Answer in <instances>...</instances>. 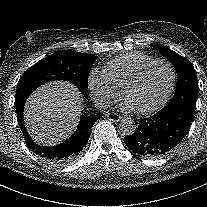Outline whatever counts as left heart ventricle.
Returning a JSON list of instances; mask_svg holds the SVG:
<instances>
[{"mask_svg": "<svg viewBox=\"0 0 207 207\" xmlns=\"http://www.w3.org/2000/svg\"><path fill=\"white\" fill-rule=\"evenodd\" d=\"M171 84V73L164 64L153 65L130 90L127 103L135 111H151L160 106Z\"/></svg>", "mask_w": 207, "mask_h": 207, "instance_id": "b2bd125f", "label": "left heart ventricle"}]
</instances>
